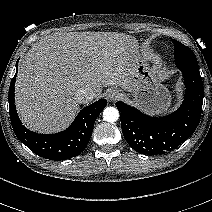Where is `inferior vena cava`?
Wrapping results in <instances>:
<instances>
[{
    "label": "inferior vena cava",
    "mask_w": 212,
    "mask_h": 212,
    "mask_svg": "<svg viewBox=\"0 0 212 212\" xmlns=\"http://www.w3.org/2000/svg\"><path fill=\"white\" fill-rule=\"evenodd\" d=\"M95 97L93 92L87 91L85 89H81L77 92L76 100L78 103H87L91 101Z\"/></svg>",
    "instance_id": "1"
}]
</instances>
